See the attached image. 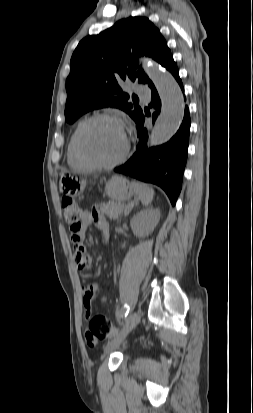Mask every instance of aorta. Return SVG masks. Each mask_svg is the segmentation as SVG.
I'll use <instances>...</instances> for the list:
<instances>
[{"mask_svg":"<svg viewBox=\"0 0 253 413\" xmlns=\"http://www.w3.org/2000/svg\"><path fill=\"white\" fill-rule=\"evenodd\" d=\"M143 65L162 102L160 115L148 140L149 146H157L168 142L179 129L185 103L182 92L170 73L160 69L152 60H144Z\"/></svg>","mask_w":253,"mask_h":413,"instance_id":"762f6f07","label":"aorta"}]
</instances>
